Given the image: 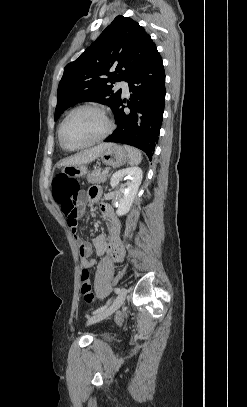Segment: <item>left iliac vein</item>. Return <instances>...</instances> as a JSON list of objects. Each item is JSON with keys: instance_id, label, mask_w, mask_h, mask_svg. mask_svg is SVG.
Masks as SVG:
<instances>
[{"instance_id": "left-iliac-vein-1", "label": "left iliac vein", "mask_w": 247, "mask_h": 407, "mask_svg": "<svg viewBox=\"0 0 247 407\" xmlns=\"http://www.w3.org/2000/svg\"><path fill=\"white\" fill-rule=\"evenodd\" d=\"M126 295H127V290L125 288H121L118 293V296L116 297L113 304L109 308L105 309L104 311L99 312L98 314L92 316L88 320L87 324L88 325L94 324V323L100 322V321L108 318L109 316H111L115 311H117L122 306V304L125 301Z\"/></svg>"}]
</instances>
